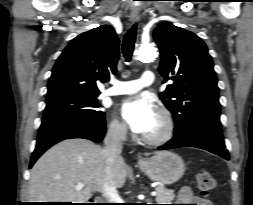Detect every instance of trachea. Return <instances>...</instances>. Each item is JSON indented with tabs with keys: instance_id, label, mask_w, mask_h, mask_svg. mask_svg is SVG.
<instances>
[{
	"instance_id": "trachea-1",
	"label": "trachea",
	"mask_w": 253,
	"mask_h": 205,
	"mask_svg": "<svg viewBox=\"0 0 253 205\" xmlns=\"http://www.w3.org/2000/svg\"><path fill=\"white\" fill-rule=\"evenodd\" d=\"M136 31H137V25L134 24L132 28L128 30V32L125 34L123 45H122V52L123 56L126 59V61H130L133 55L134 51V44L136 40Z\"/></svg>"
}]
</instances>
